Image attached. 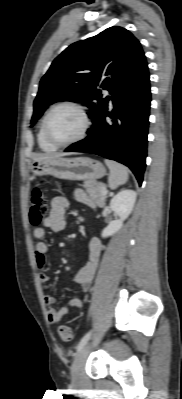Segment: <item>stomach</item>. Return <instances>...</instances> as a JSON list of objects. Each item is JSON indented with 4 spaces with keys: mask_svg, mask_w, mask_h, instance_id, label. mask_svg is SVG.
<instances>
[{
    "mask_svg": "<svg viewBox=\"0 0 182 399\" xmlns=\"http://www.w3.org/2000/svg\"><path fill=\"white\" fill-rule=\"evenodd\" d=\"M31 170L34 176L51 175L65 180H96L106 173L102 163L88 157L36 160Z\"/></svg>",
    "mask_w": 182,
    "mask_h": 399,
    "instance_id": "0dacf381",
    "label": "stomach"
}]
</instances>
